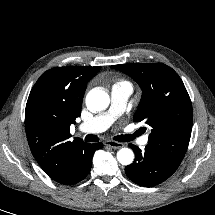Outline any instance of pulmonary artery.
Returning <instances> with one entry per match:
<instances>
[{"mask_svg": "<svg viewBox=\"0 0 215 215\" xmlns=\"http://www.w3.org/2000/svg\"><path fill=\"white\" fill-rule=\"evenodd\" d=\"M131 93L132 87L129 84L114 85L111 90L110 109L82 123L79 126V130L85 133H99L108 129L114 120L124 111ZM140 143L146 145L148 143V136H144L140 140Z\"/></svg>", "mask_w": 215, "mask_h": 215, "instance_id": "obj_1", "label": "pulmonary artery"}]
</instances>
